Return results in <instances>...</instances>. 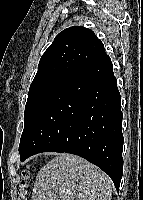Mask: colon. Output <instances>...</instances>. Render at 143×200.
<instances>
[{"mask_svg": "<svg viewBox=\"0 0 143 200\" xmlns=\"http://www.w3.org/2000/svg\"><path fill=\"white\" fill-rule=\"evenodd\" d=\"M28 186V172L24 171L21 176V180L19 183L20 194L18 200H26V188Z\"/></svg>", "mask_w": 143, "mask_h": 200, "instance_id": "obj_1", "label": "colon"}]
</instances>
